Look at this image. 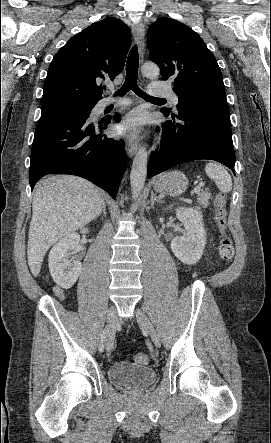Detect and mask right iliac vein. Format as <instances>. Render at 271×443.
Masks as SVG:
<instances>
[{
  "label": "right iliac vein",
  "instance_id": "right-iliac-vein-1",
  "mask_svg": "<svg viewBox=\"0 0 271 443\" xmlns=\"http://www.w3.org/2000/svg\"><path fill=\"white\" fill-rule=\"evenodd\" d=\"M115 314H116V308L114 306H111L107 313V322L110 325V331L107 335L106 339V350L110 351L114 345V339H115V331H114V322H115Z\"/></svg>",
  "mask_w": 271,
  "mask_h": 443
}]
</instances>
